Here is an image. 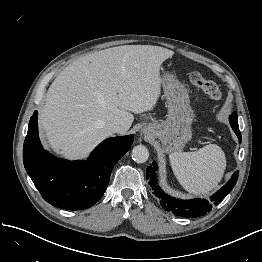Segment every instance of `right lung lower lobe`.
<instances>
[{
  "label": "right lung lower lobe",
  "mask_w": 262,
  "mask_h": 262,
  "mask_svg": "<svg viewBox=\"0 0 262 262\" xmlns=\"http://www.w3.org/2000/svg\"><path fill=\"white\" fill-rule=\"evenodd\" d=\"M133 135L103 141L87 161H67L45 151L38 137L37 111L30 119L23 146L28 175L50 204L68 210L94 205L104 194L114 165L130 149Z\"/></svg>",
  "instance_id": "right-lung-lower-lobe-1"
}]
</instances>
